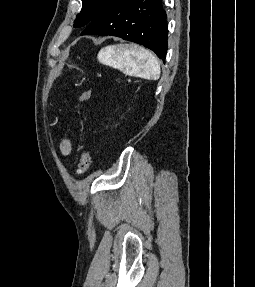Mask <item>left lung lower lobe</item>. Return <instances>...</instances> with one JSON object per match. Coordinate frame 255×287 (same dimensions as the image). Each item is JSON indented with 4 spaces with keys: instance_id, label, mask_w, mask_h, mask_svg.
<instances>
[{
    "instance_id": "1",
    "label": "left lung lower lobe",
    "mask_w": 255,
    "mask_h": 287,
    "mask_svg": "<svg viewBox=\"0 0 255 287\" xmlns=\"http://www.w3.org/2000/svg\"><path fill=\"white\" fill-rule=\"evenodd\" d=\"M167 21L162 0H112L81 35H112L144 45L161 59L167 52Z\"/></svg>"
}]
</instances>
